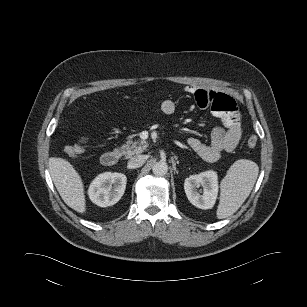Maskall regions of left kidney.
I'll use <instances>...</instances> for the list:
<instances>
[{"label":"left kidney","mask_w":307,"mask_h":307,"mask_svg":"<svg viewBox=\"0 0 307 307\" xmlns=\"http://www.w3.org/2000/svg\"><path fill=\"white\" fill-rule=\"evenodd\" d=\"M202 186V192L198 188ZM184 190L188 200L200 209H211L218 195V176L215 171L208 170L191 175L185 179Z\"/></svg>","instance_id":"left-kidney-1"}]
</instances>
